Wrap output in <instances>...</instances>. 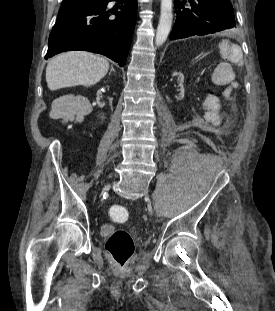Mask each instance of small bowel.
Segmentation results:
<instances>
[{
	"mask_svg": "<svg viewBox=\"0 0 275 311\" xmlns=\"http://www.w3.org/2000/svg\"><path fill=\"white\" fill-rule=\"evenodd\" d=\"M219 57L214 66V73H210L208 81L209 91L204 92L202 101H200L201 114L204 116V122H210L211 126H221L220 117L223 114V102L217 92H213V87H227L228 84H235V76L231 64L240 62L242 50L238 45H231L229 40H222L220 43ZM227 131L226 127L222 128Z\"/></svg>",
	"mask_w": 275,
	"mask_h": 311,
	"instance_id": "1",
	"label": "small bowel"
}]
</instances>
